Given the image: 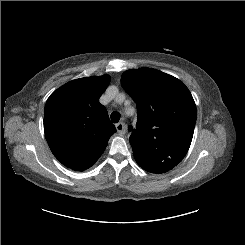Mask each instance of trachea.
I'll list each match as a JSON object with an SVG mask.
<instances>
[{
  "mask_svg": "<svg viewBox=\"0 0 245 245\" xmlns=\"http://www.w3.org/2000/svg\"><path fill=\"white\" fill-rule=\"evenodd\" d=\"M119 120H120V114L118 112H116V111L112 112L111 113V121L113 123H118Z\"/></svg>",
  "mask_w": 245,
  "mask_h": 245,
  "instance_id": "obj_1",
  "label": "trachea"
}]
</instances>
